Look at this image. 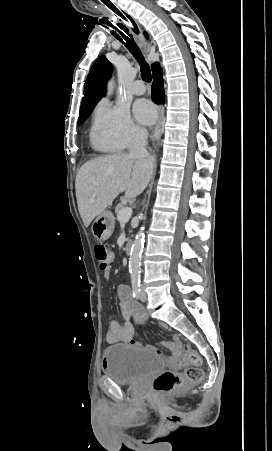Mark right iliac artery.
I'll return each instance as SVG.
<instances>
[{"mask_svg":"<svg viewBox=\"0 0 272 451\" xmlns=\"http://www.w3.org/2000/svg\"><path fill=\"white\" fill-rule=\"evenodd\" d=\"M132 295L134 298L139 299L141 295L140 282H132Z\"/></svg>","mask_w":272,"mask_h":451,"instance_id":"1","label":"right iliac artery"}]
</instances>
